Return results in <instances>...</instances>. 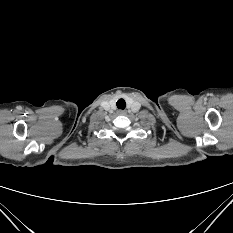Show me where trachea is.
Instances as JSON below:
<instances>
[{"label": "trachea", "instance_id": "obj_1", "mask_svg": "<svg viewBox=\"0 0 233 233\" xmlns=\"http://www.w3.org/2000/svg\"><path fill=\"white\" fill-rule=\"evenodd\" d=\"M118 109H125L126 107V102L124 99H119L116 103Z\"/></svg>", "mask_w": 233, "mask_h": 233}]
</instances>
